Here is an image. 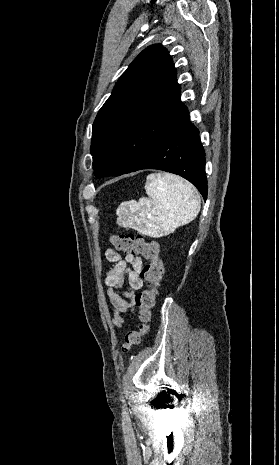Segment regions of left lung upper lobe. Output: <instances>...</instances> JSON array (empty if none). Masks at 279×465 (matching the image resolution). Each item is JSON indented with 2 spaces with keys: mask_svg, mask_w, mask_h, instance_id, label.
Listing matches in <instances>:
<instances>
[{
  "mask_svg": "<svg viewBox=\"0 0 279 465\" xmlns=\"http://www.w3.org/2000/svg\"><path fill=\"white\" fill-rule=\"evenodd\" d=\"M186 110L168 51L160 44L149 46L122 74L93 123L95 176L131 172Z\"/></svg>",
  "mask_w": 279,
  "mask_h": 465,
  "instance_id": "5c2ea615",
  "label": "left lung upper lobe"
}]
</instances>
